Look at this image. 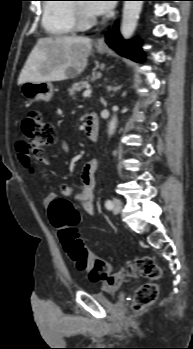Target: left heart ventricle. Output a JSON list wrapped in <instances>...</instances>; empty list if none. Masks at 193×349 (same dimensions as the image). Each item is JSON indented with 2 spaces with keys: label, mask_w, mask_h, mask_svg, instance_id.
Listing matches in <instances>:
<instances>
[{
  "label": "left heart ventricle",
  "mask_w": 193,
  "mask_h": 349,
  "mask_svg": "<svg viewBox=\"0 0 193 349\" xmlns=\"http://www.w3.org/2000/svg\"><path fill=\"white\" fill-rule=\"evenodd\" d=\"M85 5V7H86V9H87V5L86 4H84ZM88 10V9H87Z\"/></svg>",
  "instance_id": "obj_1"
}]
</instances>
